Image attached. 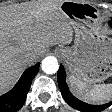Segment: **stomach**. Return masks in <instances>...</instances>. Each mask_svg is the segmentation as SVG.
<instances>
[{"label": "stomach", "mask_w": 112, "mask_h": 112, "mask_svg": "<svg viewBox=\"0 0 112 112\" xmlns=\"http://www.w3.org/2000/svg\"><path fill=\"white\" fill-rule=\"evenodd\" d=\"M85 4L79 0H65L62 4L80 23L74 45L71 48L59 47L55 51L68 63L73 76L95 84L112 75V54L109 43L91 23L95 21L92 16L96 13L86 10ZM101 38L102 41H99Z\"/></svg>", "instance_id": "stomach-1"}]
</instances>
